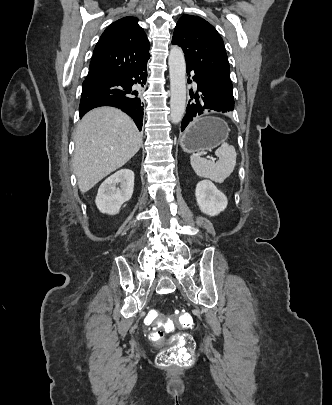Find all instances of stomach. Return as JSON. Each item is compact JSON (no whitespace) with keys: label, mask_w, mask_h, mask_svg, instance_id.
Listing matches in <instances>:
<instances>
[{"label":"stomach","mask_w":332,"mask_h":405,"mask_svg":"<svg viewBox=\"0 0 332 405\" xmlns=\"http://www.w3.org/2000/svg\"><path fill=\"white\" fill-rule=\"evenodd\" d=\"M229 128L225 121L215 116H203L193 120L180 138L182 149L189 153L209 150L225 143Z\"/></svg>","instance_id":"stomach-1"}]
</instances>
